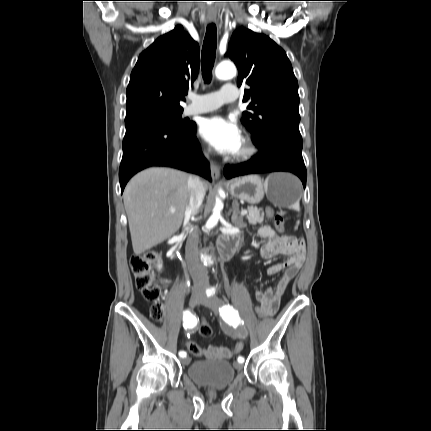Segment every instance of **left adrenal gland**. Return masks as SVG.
<instances>
[{"label":"left adrenal gland","instance_id":"left-adrenal-gland-1","mask_svg":"<svg viewBox=\"0 0 431 431\" xmlns=\"http://www.w3.org/2000/svg\"><path fill=\"white\" fill-rule=\"evenodd\" d=\"M238 214H239V204L236 200H234L233 201V214H232L231 220H232L233 224L242 226L243 225L242 218L241 217L238 218Z\"/></svg>","mask_w":431,"mask_h":431}]
</instances>
